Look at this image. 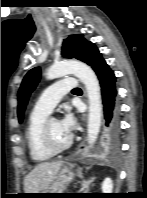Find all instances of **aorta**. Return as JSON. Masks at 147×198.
<instances>
[{
    "label": "aorta",
    "mask_w": 147,
    "mask_h": 198,
    "mask_svg": "<svg viewBox=\"0 0 147 198\" xmlns=\"http://www.w3.org/2000/svg\"><path fill=\"white\" fill-rule=\"evenodd\" d=\"M74 74L85 85L89 99L87 122L88 143L92 146L99 134L102 117V99L100 84L94 71L85 63L69 60L53 64L46 72V78L51 80Z\"/></svg>",
    "instance_id": "aorta-1"
}]
</instances>
